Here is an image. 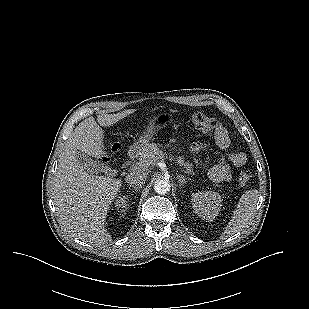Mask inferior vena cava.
I'll use <instances>...</instances> for the list:
<instances>
[{"label":"inferior vena cava","instance_id":"obj_1","mask_svg":"<svg viewBox=\"0 0 309 309\" xmlns=\"http://www.w3.org/2000/svg\"><path fill=\"white\" fill-rule=\"evenodd\" d=\"M146 179L147 174L143 170L137 169L130 172L126 176L125 181L127 184H130L132 186H142Z\"/></svg>","mask_w":309,"mask_h":309}]
</instances>
